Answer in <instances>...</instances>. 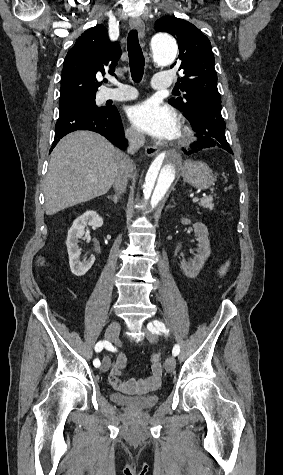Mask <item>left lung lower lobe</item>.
I'll use <instances>...</instances> for the list:
<instances>
[{
  "instance_id": "0a47b994",
  "label": "left lung lower lobe",
  "mask_w": 283,
  "mask_h": 475,
  "mask_svg": "<svg viewBox=\"0 0 283 475\" xmlns=\"http://www.w3.org/2000/svg\"><path fill=\"white\" fill-rule=\"evenodd\" d=\"M188 119L192 122L198 140L191 145L190 149L184 150L186 155L214 146L233 154L225 137V122L221 115V103H201Z\"/></svg>"
}]
</instances>
